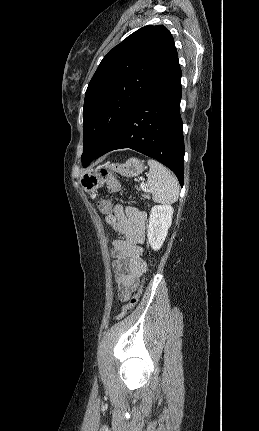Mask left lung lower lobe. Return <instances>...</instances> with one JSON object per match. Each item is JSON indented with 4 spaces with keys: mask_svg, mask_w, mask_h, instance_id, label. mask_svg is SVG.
I'll list each match as a JSON object with an SVG mask.
<instances>
[{
    "mask_svg": "<svg viewBox=\"0 0 259 431\" xmlns=\"http://www.w3.org/2000/svg\"><path fill=\"white\" fill-rule=\"evenodd\" d=\"M181 75L177 58L156 85L124 116L94 159L112 150L131 148L166 165L183 186Z\"/></svg>",
    "mask_w": 259,
    "mask_h": 431,
    "instance_id": "left-lung-lower-lobe-1",
    "label": "left lung lower lobe"
}]
</instances>
